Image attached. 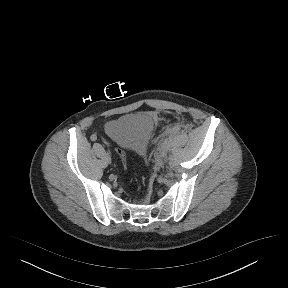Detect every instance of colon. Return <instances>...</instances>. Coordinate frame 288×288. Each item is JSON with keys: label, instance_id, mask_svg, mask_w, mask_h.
<instances>
[{"label": "colon", "instance_id": "obj_1", "mask_svg": "<svg viewBox=\"0 0 288 288\" xmlns=\"http://www.w3.org/2000/svg\"><path fill=\"white\" fill-rule=\"evenodd\" d=\"M118 156L120 157L121 162H122L124 165H126L127 157H126L125 151L122 150V149H119V150H118Z\"/></svg>", "mask_w": 288, "mask_h": 288}]
</instances>
